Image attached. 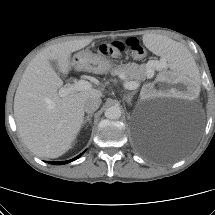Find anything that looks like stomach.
Here are the masks:
<instances>
[{
    "label": "stomach",
    "instance_id": "stomach-1",
    "mask_svg": "<svg viewBox=\"0 0 215 215\" xmlns=\"http://www.w3.org/2000/svg\"><path fill=\"white\" fill-rule=\"evenodd\" d=\"M73 63L77 69L97 74L108 73L114 69V64L106 56L92 53L88 49L75 54Z\"/></svg>",
    "mask_w": 215,
    "mask_h": 215
}]
</instances>
